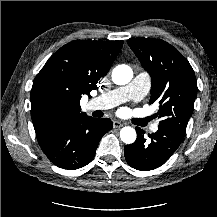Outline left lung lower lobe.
I'll return each instance as SVG.
<instances>
[{
    "mask_svg": "<svg viewBox=\"0 0 217 217\" xmlns=\"http://www.w3.org/2000/svg\"><path fill=\"white\" fill-rule=\"evenodd\" d=\"M136 141L124 147L127 163L140 171H148L163 165L177 150L184 135L165 126H159L157 132L149 134L146 142L144 131L136 127Z\"/></svg>",
    "mask_w": 217,
    "mask_h": 217,
    "instance_id": "0a47b994",
    "label": "left lung lower lobe"
}]
</instances>
